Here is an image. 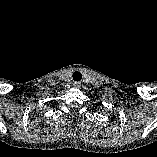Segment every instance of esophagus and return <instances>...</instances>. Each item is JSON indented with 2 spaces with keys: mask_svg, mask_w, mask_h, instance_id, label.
Wrapping results in <instances>:
<instances>
[{
  "mask_svg": "<svg viewBox=\"0 0 157 157\" xmlns=\"http://www.w3.org/2000/svg\"><path fill=\"white\" fill-rule=\"evenodd\" d=\"M73 84L76 85V86H80L81 82L80 81H74Z\"/></svg>",
  "mask_w": 157,
  "mask_h": 157,
  "instance_id": "esophagus-1",
  "label": "esophagus"
}]
</instances>
